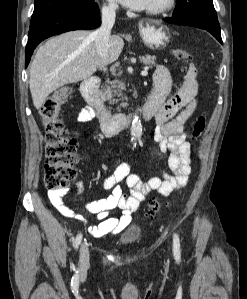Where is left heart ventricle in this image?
I'll list each match as a JSON object with an SVG mask.
<instances>
[{
  "label": "left heart ventricle",
  "mask_w": 247,
  "mask_h": 299,
  "mask_svg": "<svg viewBox=\"0 0 247 299\" xmlns=\"http://www.w3.org/2000/svg\"><path fill=\"white\" fill-rule=\"evenodd\" d=\"M157 1H160V0H152L149 4V6H151L153 3L157 2Z\"/></svg>",
  "instance_id": "1"
}]
</instances>
